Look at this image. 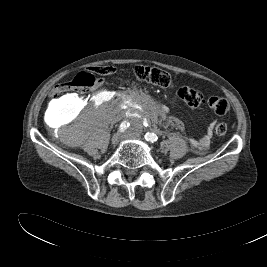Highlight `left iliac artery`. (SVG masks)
I'll list each match as a JSON object with an SVG mask.
<instances>
[{
    "label": "left iliac artery",
    "mask_w": 267,
    "mask_h": 267,
    "mask_svg": "<svg viewBox=\"0 0 267 267\" xmlns=\"http://www.w3.org/2000/svg\"><path fill=\"white\" fill-rule=\"evenodd\" d=\"M144 137H145L146 141L151 142V143H155L158 140L157 135L154 133H150V132H147L144 135Z\"/></svg>",
    "instance_id": "1"
}]
</instances>
